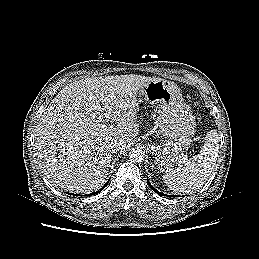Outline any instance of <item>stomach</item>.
<instances>
[{
  "label": "stomach",
  "mask_w": 259,
  "mask_h": 259,
  "mask_svg": "<svg viewBox=\"0 0 259 259\" xmlns=\"http://www.w3.org/2000/svg\"><path fill=\"white\" fill-rule=\"evenodd\" d=\"M139 102L158 108L161 143L151 145L154 163L159 169H169L178 164L195 135L196 122L182 99L180 88L173 82L155 78L143 86Z\"/></svg>",
  "instance_id": "0dacf381"
}]
</instances>
